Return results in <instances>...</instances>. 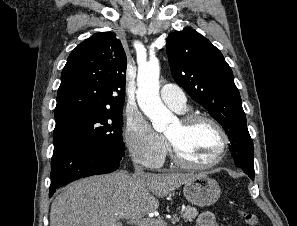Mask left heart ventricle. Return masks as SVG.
<instances>
[{"label": "left heart ventricle", "mask_w": 297, "mask_h": 226, "mask_svg": "<svg viewBox=\"0 0 297 226\" xmlns=\"http://www.w3.org/2000/svg\"><path fill=\"white\" fill-rule=\"evenodd\" d=\"M165 135L176 144L187 160L198 164L214 160L222 145L218 130L203 121L185 127L178 120L166 130Z\"/></svg>", "instance_id": "b2bd125f"}]
</instances>
